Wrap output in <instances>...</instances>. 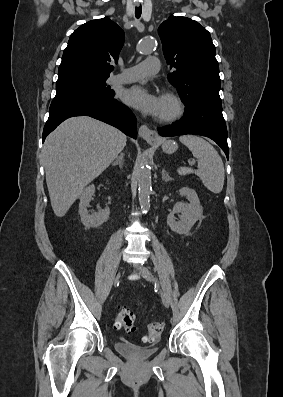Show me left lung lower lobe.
Masks as SVG:
<instances>
[{"label":"left lung lower lobe","mask_w":283,"mask_h":397,"mask_svg":"<svg viewBox=\"0 0 283 397\" xmlns=\"http://www.w3.org/2000/svg\"><path fill=\"white\" fill-rule=\"evenodd\" d=\"M184 117L161 128H157L163 137L184 134L202 135L214 140L229 156L227 145V128L222 109L206 104H193L185 108Z\"/></svg>","instance_id":"left-lung-lower-lobe-1"}]
</instances>
